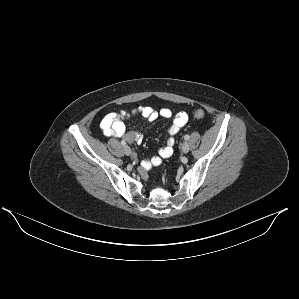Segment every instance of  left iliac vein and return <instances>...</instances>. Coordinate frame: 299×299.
Segmentation results:
<instances>
[{"label":"left iliac vein","instance_id":"left-iliac-vein-1","mask_svg":"<svg viewBox=\"0 0 299 299\" xmlns=\"http://www.w3.org/2000/svg\"><path fill=\"white\" fill-rule=\"evenodd\" d=\"M189 150H190V146H189V144H188L187 142H184V143L182 144V146H181V151H182L183 153H188Z\"/></svg>","mask_w":299,"mask_h":299}]
</instances>
